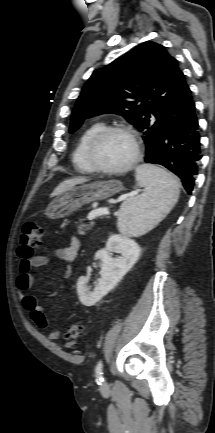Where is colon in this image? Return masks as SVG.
Masks as SVG:
<instances>
[{"label": "colon", "mask_w": 215, "mask_h": 433, "mask_svg": "<svg viewBox=\"0 0 215 433\" xmlns=\"http://www.w3.org/2000/svg\"><path fill=\"white\" fill-rule=\"evenodd\" d=\"M43 230L33 221L27 222L21 231L19 256L30 257L34 255V250L39 248L42 244ZM83 327L79 323L71 324L67 328V338L69 340L77 339L82 335Z\"/></svg>", "instance_id": "colon-1"}]
</instances>
